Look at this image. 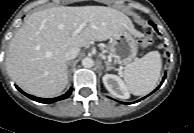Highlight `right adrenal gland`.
I'll list each match as a JSON object with an SVG mask.
<instances>
[{"instance_id": "1", "label": "right adrenal gland", "mask_w": 194, "mask_h": 133, "mask_svg": "<svg viewBox=\"0 0 194 133\" xmlns=\"http://www.w3.org/2000/svg\"><path fill=\"white\" fill-rule=\"evenodd\" d=\"M69 63H70V62H67V68H68Z\"/></svg>"}]
</instances>
